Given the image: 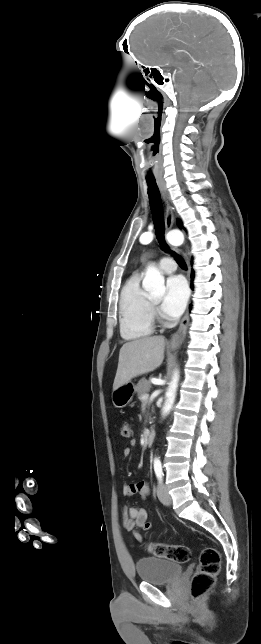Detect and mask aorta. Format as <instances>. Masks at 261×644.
I'll list each match as a JSON object with an SVG mask.
<instances>
[{"label": "aorta", "mask_w": 261, "mask_h": 644, "mask_svg": "<svg viewBox=\"0 0 261 644\" xmlns=\"http://www.w3.org/2000/svg\"><path fill=\"white\" fill-rule=\"evenodd\" d=\"M183 236L180 233H175L172 236L168 237V240L171 243L181 241ZM143 288L155 296H162L165 293V280L162 274L155 266H148L145 274V278L142 283ZM179 381V371L176 370L173 374L172 380L168 386L166 392V400L162 407V415L167 416L174 404L176 397V390L178 387Z\"/></svg>", "instance_id": "762f6f07"}]
</instances>
